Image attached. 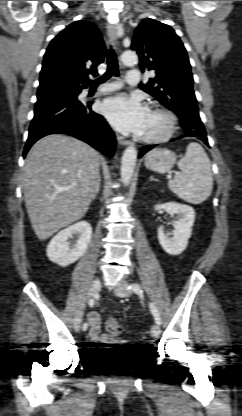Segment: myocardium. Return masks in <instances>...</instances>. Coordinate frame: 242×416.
I'll use <instances>...</instances> for the list:
<instances>
[{
	"mask_svg": "<svg viewBox=\"0 0 242 416\" xmlns=\"http://www.w3.org/2000/svg\"><path fill=\"white\" fill-rule=\"evenodd\" d=\"M150 111L162 115L165 119V125L160 133L150 136H141L140 140L149 144L164 142L173 135L176 129V116L170 109L163 106H154Z\"/></svg>",
	"mask_w": 242,
	"mask_h": 416,
	"instance_id": "obj_1",
	"label": "myocardium"
}]
</instances>
